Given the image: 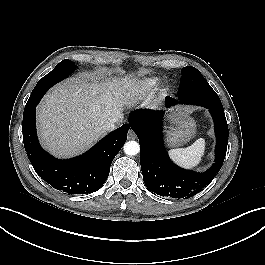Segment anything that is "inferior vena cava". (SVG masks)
<instances>
[{
	"mask_svg": "<svg viewBox=\"0 0 265 265\" xmlns=\"http://www.w3.org/2000/svg\"><path fill=\"white\" fill-rule=\"evenodd\" d=\"M122 122V120L120 119H112L110 120L107 124L104 125V129L106 131H112L114 129H116L118 123Z\"/></svg>",
	"mask_w": 265,
	"mask_h": 265,
	"instance_id": "602c4592",
	"label": "inferior vena cava"
}]
</instances>
